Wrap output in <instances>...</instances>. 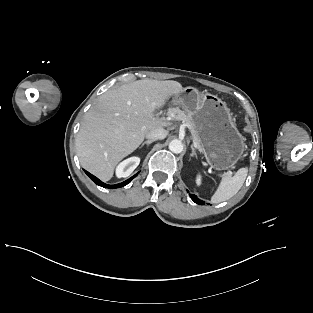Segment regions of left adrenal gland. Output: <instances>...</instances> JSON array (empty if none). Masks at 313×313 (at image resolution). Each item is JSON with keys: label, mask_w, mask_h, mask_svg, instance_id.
<instances>
[{"label": "left adrenal gland", "mask_w": 313, "mask_h": 313, "mask_svg": "<svg viewBox=\"0 0 313 313\" xmlns=\"http://www.w3.org/2000/svg\"><path fill=\"white\" fill-rule=\"evenodd\" d=\"M191 149H192V153L190 154V157H197L196 151L193 147V145H191Z\"/></svg>", "instance_id": "obj_1"}]
</instances>
